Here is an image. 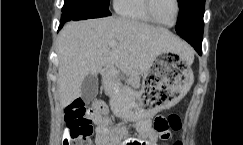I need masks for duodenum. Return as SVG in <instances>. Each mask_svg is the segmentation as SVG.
<instances>
[{"label": "duodenum", "mask_w": 243, "mask_h": 145, "mask_svg": "<svg viewBox=\"0 0 243 145\" xmlns=\"http://www.w3.org/2000/svg\"><path fill=\"white\" fill-rule=\"evenodd\" d=\"M112 73H113L112 67L109 65H105L101 69V74L107 84L111 83L112 81Z\"/></svg>", "instance_id": "obj_1"}]
</instances>
